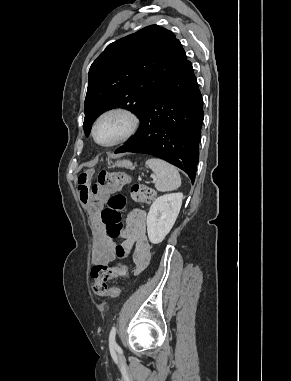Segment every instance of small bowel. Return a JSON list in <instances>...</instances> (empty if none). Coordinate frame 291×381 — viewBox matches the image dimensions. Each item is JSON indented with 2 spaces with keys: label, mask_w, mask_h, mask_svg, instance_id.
Wrapping results in <instances>:
<instances>
[{
  "label": "small bowel",
  "mask_w": 291,
  "mask_h": 381,
  "mask_svg": "<svg viewBox=\"0 0 291 381\" xmlns=\"http://www.w3.org/2000/svg\"><path fill=\"white\" fill-rule=\"evenodd\" d=\"M93 215L99 218V209H95ZM147 213L142 209H134L127 217V228L125 231V247L130 250L134 248L133 259L136 264V272L146 268L151 259V244L146 234ZM115 242L102 229L96 234L93 262L95 264H110L115 259Z\"/></svg>",
  "instance_id": "c3829d8e"
}]
</instances>
